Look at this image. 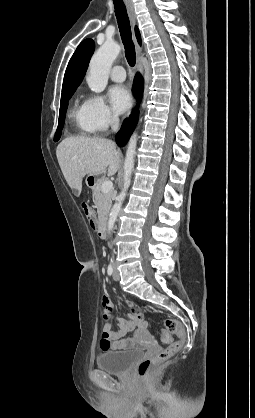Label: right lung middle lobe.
<instances>
[{"mask_svg": "<svg viewBox=\"0 0 255 418\" xmlns=\"http://www.w3.org/2000/svg\"><path fill=\"white\" fill-rule=\"evenodd\" d=\"M75 92V90H70V91H66L63 92L61 94V103H60V111H59V124H58V128L55 134V138L54 141H58L60 139L61 136V131L63 129L64 126V121H65V115H66V110L68 107V101L71 98V96L73 95V93Z\"/></svg>", "mask_w": 255, "mask_h": 418, "instance_id": "1", "label": "right lung middle lobe"}]
</instances>
